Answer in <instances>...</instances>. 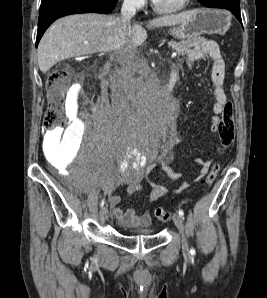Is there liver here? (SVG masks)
Returning <instances> with one entry per match:
<instances>
[{"label": "liver", "mask_w": 267, "mask_h": 298, "mask_svg": "<svg viewBox=\"0 0 267 298\" xmlns=\"http://www.w3.org/2000/svg\"><path fill=\"white\" fill-rule=\"evenodd\" d=\"M189 17V11L159 17L150 21L147 28L176 25ZM120 23L117 17L95 13L70 15L55 21L38 45L40 70L46 73L65 59L114 51L129 42L138 46L147 39L146 30L138 24L129 28L128 33H119Z\"/></svg>", "instance_id": "liver-1"}]
</instances>
